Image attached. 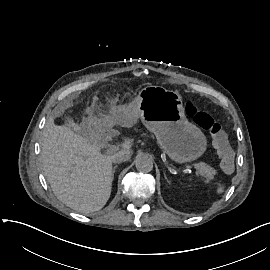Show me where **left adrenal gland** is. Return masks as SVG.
I'll return each mask as SVG.
<instances>
[{
    "mask_svg": "<svg viewBox=\"0 0 270 270\" xmlns=\"http://www.w3.org/2000/svg\"><path fill=\"white\" fill-rule=\"evenodd\" d=\"M164 178H165V180L168 182V179H167V177H166V175L164 174Z\"/></svg>",
    "mask_w": 270,
    "mask_h": 270,
    "instance_id": "a2214340",
    "label": "left adrenal gland"
}]
</instances>
